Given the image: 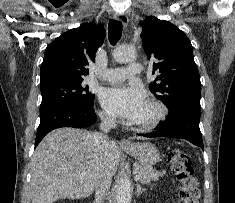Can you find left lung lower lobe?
Masks as SVG:
<instances>
[{
  "mask_svg": "<svg viewBox=\"0 0 235 203\" xmlns=\"http://www.w3.org/2000/svg\"><path fill=\"white\" fill-rule=\"evenodd\" d=\"M201 109L193 106L183 107L171 114L156 127V132L140 134L145 137H169L186 139L203 149L202 135L199 128Z\"/></svg>",
  "mask_w": 235,
  "mask_h": 203,
  "instance_id": "1",
  "label": "left lung lower lobe"
}]
</instances>
